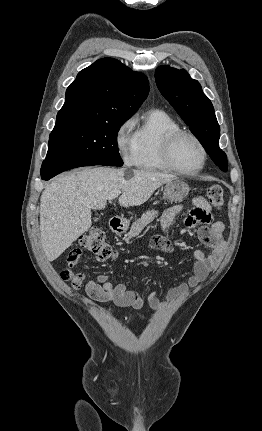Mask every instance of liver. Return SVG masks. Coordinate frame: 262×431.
Returning a JSON list of instances; mask_svg holds the SVG:
<instances>
[{"label": "liver", "mask_w": 262, "mask_h": 431, "mask_svg": "<svg viewBox=\"0 0 262 431\" xmlns=\"http://www.w3.org/2000/svg\"><path fill=\"white\" fill-rule=\"evenodd\" d=\"M84 168L54 178L40 199V239L49 261L57 259L91 227V209H104L106 197L120 190L119 204L129 208L145 203L174 175L148 170Z\"/></svg>", "instance_id": "liver-1"}]
</instances>
